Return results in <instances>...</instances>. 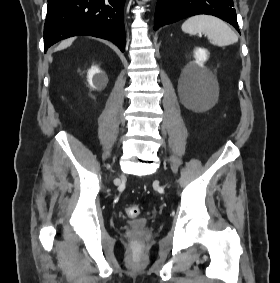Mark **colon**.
Wrapping results in <instances>:
<instances>
[{"mask_svg": "<svg viewBox=\"0 0 280 283\" xmlns=\"http://www.w3.org/2000/svg\"><path fill=\"white\" fill-rule=\"evenodd\" d=\"M126 213L129 217L135 218L139 215V208L137 206L128 207Z\"/></svg>", "mask_w": 280, "mask_h": 283, "instance_id": "5ec220e1", "label": "colon"}]
</instances>
